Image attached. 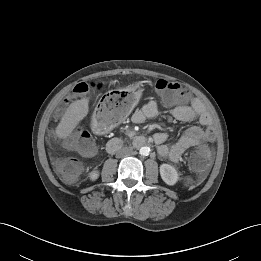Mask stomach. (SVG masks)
<instances>
[{
    "label": "stomach",
    "mask_w": 261,
    "mask_h": 261,
    "mask_svg": "<svg viewBox=\"0 0 261 261\" xmlns=\"http://www.w3.org/2000/svg\"><path fill=\"white\" fill-rule=\"evenodd\" d=\"M125 98L128 101V112L129 113L139 102L142 89L139 85H130L123 90ZM116 126V123L104 121L99 113H94L92 118V130L97 134H105L112 130Z\"/></svg>",
    "instance_id": "1"
}]
</instances>
